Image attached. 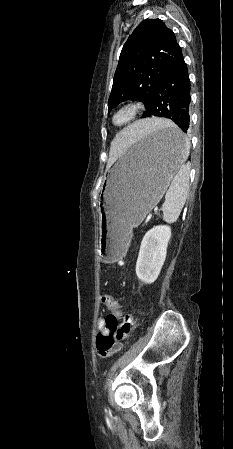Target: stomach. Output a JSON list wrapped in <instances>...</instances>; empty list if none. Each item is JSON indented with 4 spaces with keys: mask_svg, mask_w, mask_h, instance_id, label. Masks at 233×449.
<instances>
[{
    "mask_svg": "<svg viewBox=\"0 0 233 449\" xmlns=\"http://www.w3.org/2000/svg\"><path fill=\"white\" fill-rule=\"evenodd\" d=\"M184 133L174 125L155 128L108 172L100 201L99 255L118 261L132 230L158 204L184 162Z\"/></svg>",
    "mask_w": 233,
    "mask_h": 449,
    "instance_id": "1",
    "label": "stomach"
}]
</instances>
